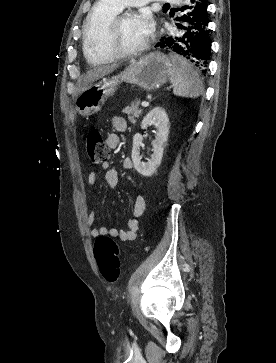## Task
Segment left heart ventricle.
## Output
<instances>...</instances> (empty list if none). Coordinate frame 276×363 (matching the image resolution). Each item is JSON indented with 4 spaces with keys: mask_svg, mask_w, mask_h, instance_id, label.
Listing matches in <instances>:
<instances>
[{
    "mask_svg": "<svg viewBox=\"0 0 276 363\" xmlns=\"http://www.w3.org/2000/svg\"><path fill=\"white\" fill-rule=\"evenodd\" d=\"M148 36L141 30L136 16L126 17L120 26L117 43L121 48L133 49L141 45Z\"/></svg>",
    "mask_w": 276,
    "mask_h": 363,
    "instance_id": "b2bd125f",
    "label": "left heart ventricle"
}]
</instances>
